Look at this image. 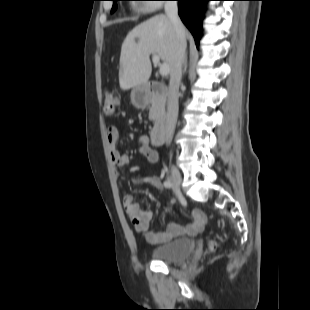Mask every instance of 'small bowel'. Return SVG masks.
I'll return each mask as SVG.
<instances>
[{"instance_id": "small-bowel-1", "label": "small bowel", "mask_w": 310, "mask_h": 310, "mask_svg": "<svg viewBox=\"0 0 310 310\" xmlns=\"http://www.w3.org/2000/svg\"><path fill=\"white\" fill-rule=\"evenodd\" d=\"M108 143L110 145V159L116 177H119L125 165L130 162L129 157L122 153L117 147L118 130L115 126H110L107 130ZM139 151L150 163H158L160 160L159 153L152 149L149 139L146 135H140L137 138ZM135 185L149 183L157 188L163 189V184L159 176H135L133 179ZM174 200L170 204H174ZM123 206L130 215L134 229L138 233H143L147 242L151 244H163L173 240L183 233L196 234L201 231L206 224V215L201 210H194L192 221L186 226L176 223H169L165 229L154 231L150 229L152 213L145 210L139 202H135L131 194H125L122 198Z\"/></svg>"}]
</instances>
